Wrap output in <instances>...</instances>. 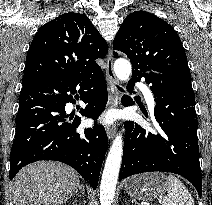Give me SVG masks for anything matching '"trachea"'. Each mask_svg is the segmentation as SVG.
I'll return each instance as SVG.
<instances>
[{
  "label": "trachea",
  "mask_w": 212,
  "mask_h": 205,
  "mask_svg": "<svg viewBox=\"0 0 212 205\" xmlns=\"http://www.w3.org/2000/svg\"><path fill=\"white\" fill-rule=\"evenodd\" d=\"M120 90H123L122 88L118 87Z\"/></svg>",
  "instance_id": "1"
}]
</instances>
